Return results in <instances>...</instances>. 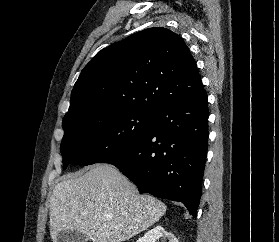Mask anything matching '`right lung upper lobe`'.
<instances>
[{"label":"right lung upper lobe","instance_id":"1","mask_svg":"<svg viewBox=\"0 0 279 242\" xmlns=\"http://www.w3.org/2000/svg\"><path fill=\"white\" fill-rule=\"evenodd\" d=\"M203 90L182 38L163 27L148 28L103 49L84 67L62 124L120 110L155 113Z\"/></svg>","mask_w":279,"mask_h":242}]
</instances>
